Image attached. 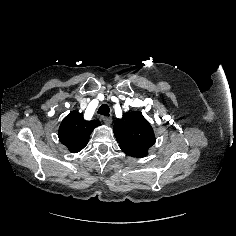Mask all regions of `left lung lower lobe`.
<instances>
[{
	"label": "left lung lower lobe",
	"mask_w": 236,
	"mask_h": 236,
	"mask_svg": "<svg viewBox=\"0 0 236 236\" xmlns=\"http://www.w3.org/2000/svg\"><path fill=\"white\" fill-rule=\"evenodd\" d=\"M125 153L129 156L137 157V158H142L147 155V153H143V152H125Z\"/></svg>",
	"instance_id": "0a47b994"
}]
</instances>
